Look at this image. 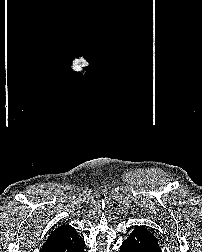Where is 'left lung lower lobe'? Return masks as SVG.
Listing matches in <instances>:
<instances>
[{"label":"left lung lower lobe","instance_id":"obj_1","mask_svg":"<svg viewBox=\"0 0 202 252\" xmlns=\"http://www.w3.org/2000/svg\"><path fill=\"white\" fill-rule=\"evenodd\" d=\"M120 252H161V248L155 235L140 226L122 243Z\"/></svg>","mask_w":202,"mask_h":252}]
</instances>
